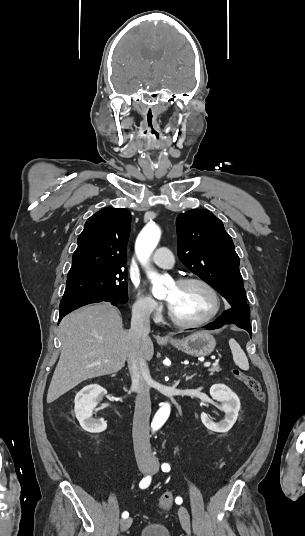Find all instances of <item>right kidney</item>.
Returning <instances> with one entry per match:
<instances>
[{"label":"right kidney","instance_id":"obj_1","mask_svg":"<svg viewBox=\"0 0 305 536\" xmlns=\"http://www.w3.org/2000/svg\"><path fill=\"white\" fill-rule=\"evenodd\" d=\"M101 392H105L104 388L97 384H90L76 394L74 402L77 420L86 432H103L106 428L103 420H96V422L92 420V410L97 406Z\"/></svg>","mask_w":305,"mask_h":536}]
</instances>
